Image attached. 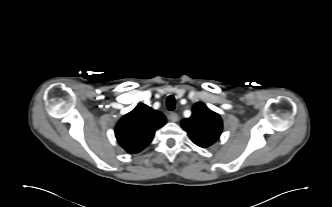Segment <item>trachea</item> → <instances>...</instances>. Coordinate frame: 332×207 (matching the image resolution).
<instances>
[{"label":"trachea","instance_id":"1","mask_svg":"<svg viewBox=\"0 0 332 207\" xmlns=\"http://www.w3.org/2000/svg\"><path fill=\"white\" fill-rule=\"evenodd\" d=\"M166 106L169 111H173L175 109V98L173 95L167 97Z\"/></svg>","mask_w":332,"mask_h":207}]
</instances>
